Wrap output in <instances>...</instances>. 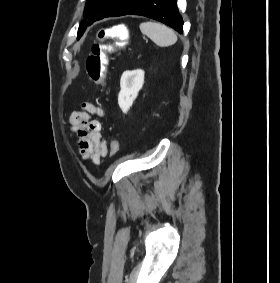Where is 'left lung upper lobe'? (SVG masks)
Masks as SVG:
<instances>
[{
    "mask_svg": "<svg viewBox=\"0 0 280 283\" xmlns=\"http://www.w3.org/2000/svg\"><path fill=\"white\" fill-rule=\"evenodd\" d=\"M144 0H87L84 10V17L89 18L99 15L93 20L104 17H114L126 15L139 6ZM92 22H89V25ZM87 23L82 22L78 30V39L86 30Z\"/></svg>",
    "mask_w": 280,
    "mask_h": 283,
    "instance_id": "obj_1",
    "label": "left lung upper lobe"
}]
</instances>
